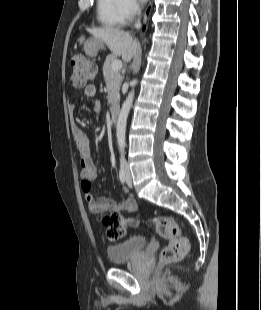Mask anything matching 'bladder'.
<instances>
[{"label": "bladder", "mask_w": 261, "mask_h": 310, "mask_svg": "<svg viewBox=\"0 0 261 310\" xmlns=\"http://www.w3.org/2000/svg\"><path fill=\"white\" fill-rule=\"evenodd\" d=\"M147 241L141 235L129 236L107 247V255L114 264L132 260L146 247Z\"/></svg>", "instance_id": "31cf9c89"}]
</instances>
